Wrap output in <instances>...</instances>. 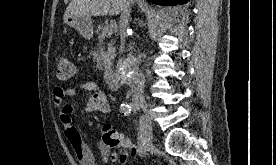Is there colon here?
I'll return each instance as SVG.
<instances>
[{
	"label": "colon",
	"instance_id": "colon-1",
	"mask_svg": "<svg viewBox=\"0 0 276 165\" xmlns=\"http://www.w3.org/2000/svg\"><path fill=\"white\" fill-rule=\"evenodd\" d=\"M76 74V68L71 59L67 56H61L57 60V77L60 80H69ZM101 140L111 148H118L132 156H135L137 150L132 142L122 133L113 129L110 125H104L101 132Z\"/></svg>",
	"mask_w": 276,
	"mask_h": 165
}]
</instances>
